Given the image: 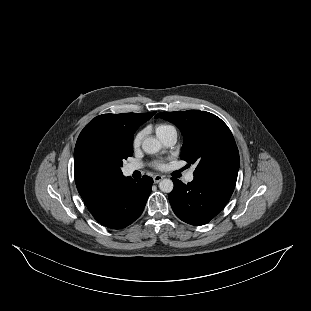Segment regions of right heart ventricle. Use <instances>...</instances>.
<instances>
[{"mask_svg": "<svg viewBox=\"0 0 311 311\" xmlns=\"http://www.w3.org/2000/svg\"><path fill=\"white\" fill-rule=\"evenodd\" d=\"M169 130H173V131H176V128L171 125V124H158L156 127H155V131L157 133V135L160 137L163 133L169 131ZM177 132V131H176Z\"/></svg>", "mask_w": 311, "mask_h": 311, "instance_id": "e07e8e85", "label": "right heart ventricle"}]
</instances>
